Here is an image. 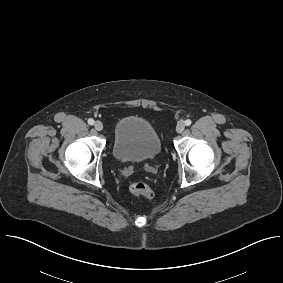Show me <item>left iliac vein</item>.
Masks as SVG:
<instances>
[{
  "label": "left iliac vein",
  "instance_id": "1",
  "mask_svg": "<svg viewBox=\"0 0 283 283\" xmlns=\"http://www.w3.org/2000/svg\"><path fill=\"white\" fill-rule=\"evenodd\" d=\"M185 129V124L183 122H179L176 126V131L178 133H182Z\"/></svg>",
  "mask_w": 283,
  "mask_h": 283
}]
</instances>
